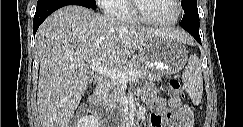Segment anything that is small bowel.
<instances>
[{"label": "small bowel", "mask_w": 243, "mask_h": 127, "mask_svg": "<svg viewBox=\"0 0 243 127\" xmlns=\"http://www.w3.org/2000/svg\"><path fill=\"white\" fill-rule=\"evenodd\" d=\"M147 104L153 109L149 127H192L194 114L191 108L181 99L171 97L168 101L156 97L150 90H146Z\"/></svg>", "instance_id": "1"}]
</instances>
